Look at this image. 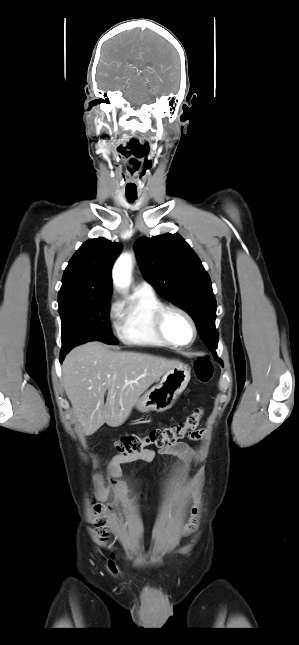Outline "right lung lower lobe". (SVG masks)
I'll return each mask as SVG.
<instances>
[{
	"label": "right lung lower lobe",
	"instance_id": "obj_1",
	"mask_svg": "<svg viewBox=\"0 0 299 645\" xmlns=\"http://www.w3.org/2000/svg\"><path fill=\"white\" fill-rule=\"evenodd\" d=\"M64 357H65V356H63V355H61V356H60V362H62V361H63V358H64Z\"/></svg>",
	"mask_w": 299,
	"mask_h": 645
}]
</instances>
